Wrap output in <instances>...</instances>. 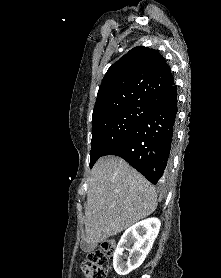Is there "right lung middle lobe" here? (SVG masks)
<instances>
[{
  "instance_id": "dd1d6c3e",
  "label": "right lung middle lobe",
  "mask_w": 221,
  "mask_h": 278,
  "mask_svg": "<svg viewBox=\"0 0 221 278\" xmlns=\"http://www.w3.org/2000/svg\"><path fill=\"white\" fill-rule=\"evenodd\" d=\"M148 112L146 101H135L94 117L90 167L111 144L128 134Z\"/></svg>"
}]
</instances>
